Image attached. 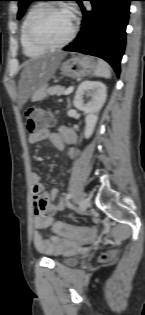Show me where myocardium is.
Returning <instances> with one entry per match:
<instances>
[{
    "mask_svg": "<svg viewBox=\"0 0 145 315\" xmlns=\"http://www.w3.org/2000/svg\"><path fill=\"white\" fill-rule=\"evenodd\" d=\"M52 10L68 11L67 9L59 7V6L54 5V4L44 5L33 13V15L30 17V19L27 23V28H26L27 37H28V40L30 41V43L33 44L34 46L41 48L43 50H46V51L47 50H55V49H59V48L66 46L74 38L76 31H77V24H78L77 18L74 14H72L71 12L68 11L72 15L73 24H72V27H71L69 34L67 35V37L65 39H63L62 41L57 42V43H47V42H44V41H41L40 39H38L36 37L35 31H34L35 24L43 14H45L48 11H52Z\"/></svg>",
    "mask_w": 145,
    "mask_h": 315,
    "instance_id": "1",
    "label": "myocardium"
}]
</instances>
